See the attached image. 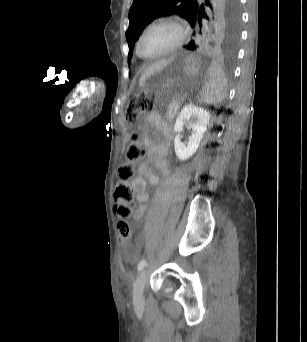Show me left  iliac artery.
Wrapping results in <instances>:
<instances>
[{"label":"left iliac artery","instance_id":"44dca946","mask_svg":"<svg viewBox=\"0 0 307 342\" xmlns=\"http://www.w3.org/2000/svg\"><path fill=\"white\" fill-rule=\"evenodd\" d=\"M145 265H146V260L145 259L141 260L137 267L138 271H141L145 267Z\"/></svg>","mask_w":307,"mask_h":342}]
</instances>
